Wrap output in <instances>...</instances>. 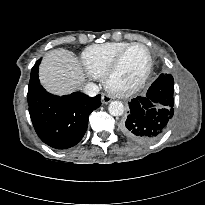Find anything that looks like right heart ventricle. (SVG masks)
<instances>
[{"label": "right heart ventricle", "mask_w": 205, "mask_h": 205, "mask_svg": "<svg viewBox=\"0 0 205 205\" xmlns=\"http://www.w3.org/2000/svg\"><path fill=\"white\" fill-rule=\"evenodd\" d=\"M129 42H109L87 47L82 55L81 62L85 71L94 78H101L115 59Z\"/></svg>", "instance_id": "right-heart-ventricle-1"}]
</instances>
